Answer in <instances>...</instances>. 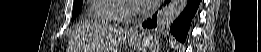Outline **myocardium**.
<instances>
[{
  "label": "myocardium",
  "instance_id": "obj_1",
  "mask_svg": "<svg viewBox=\"0 0 261 52\" xmlns=\"http://www.w3.org/2000/svg\"><path fill=\"white\" fill-rule=\"evenodd\" d=\"M127 7L129 9V11H132V12H140L142 10H139L135 7V4L133 3V1H128L127 2Z\"/></svg>",
  "mask_w": 261,
  "mask_h": 52
}]
</instances>
